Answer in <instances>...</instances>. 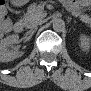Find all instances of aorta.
<instances>
[{
	"mask_svg": "<svg viewBox=\"0 0 91 91\" xmlns=\"http://www.w3.org/2000/svg\"><path fill=\"white\" fill-rule=\"evenodd\" d=\"M53 29L56 32H62L65 29V22L62 19H55L53 21Z\"/></svg>",
	"mask_w": 91,
	"mask_h": 91,
	"instance_id": "aorta-1",
	"label": "aorta"
}]
</instances>
